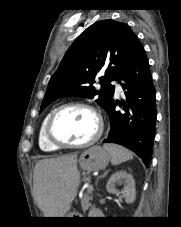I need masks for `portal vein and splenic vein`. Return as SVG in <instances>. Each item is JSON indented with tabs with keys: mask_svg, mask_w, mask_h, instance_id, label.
<instances>
[{
	"mask_svg": "<svg viewBox=\"0 0 181 227\" xmlns=\"http://www.w3.org/2000/svg\"><path fill=\"white\" fill-rule=\"evenodd\" d=\"M88 190H89V191H92V190H93V186H92V185L89 186Z\"/></svg>",
	"mask_w": 181,
	"mask_h": 227,
	"instance_id": "portal-vein-and-splenic-vein-1",
	"label": "portal vein and splenic vein"
}]
</instances>
